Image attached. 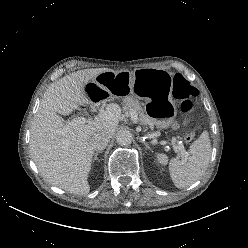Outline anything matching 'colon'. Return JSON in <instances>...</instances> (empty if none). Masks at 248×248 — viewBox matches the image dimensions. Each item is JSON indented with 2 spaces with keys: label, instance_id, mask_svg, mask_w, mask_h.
Wrapping results in <instances>:
<instances>
[{
  "label": "colon",
  "instance_id": "obj_1",
  "mask_svg": "<svg viewBox=\"0 0 248 248\" xmlns=\"http://www.w3.org/2000/svg\"><path fill=\"white\" fill-rule=\"evenodd\" d=\"M173 94L181 100L182 112L190 116L195 111L194 98L197 96V90L181 75L176 74L173 79ZM195 138V133L189 131L185 135V141L191 143Z\"/></svg>",
  "mask_w": 248,
  "mask_h": 248
}]
</instances>
